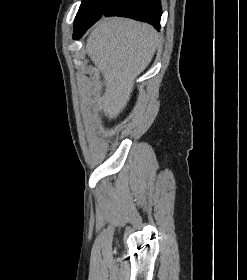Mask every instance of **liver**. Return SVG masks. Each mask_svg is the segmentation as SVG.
I'll use <instances>...</instances> for the list:
<instances>
[{"mask_svg": "<svg viewBox=\"0 0 247 280\" xmlns=\"http://www.w3.org/2000/svg\"><path fill=\"white\" fill-rule=\"evenodd\" d=\"M159 43L152 26L132 19L102 18L94 25L86 50L103 75L105 93L95 102L109 119L126 107L134 80L150 64Z\"/></svg>", "mask_w": 247, "mask_h": 280, "instance_id": "liver-1", "label": "liver"}]
</instances>
